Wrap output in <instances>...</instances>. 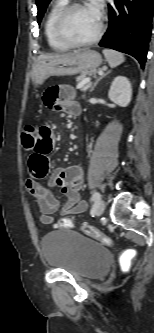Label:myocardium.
Listing matches in <instances>:
<instances>
[{
	"label": "myocardium",
	"mask_w": 154,
	"mask_h": 333,
	"mask_svg": "<svg viewBox=\"0 0 154 333\" xmlns=\"http://www.w3.org/2000/svg\"><path fill=\"white\" fill-rule=\"evenodd\" d=\"M86 6L85 3L81 2V1H71L69 3H67L62 10L59 12L56 20H55V33L57 35V37L65 44L69 45L70 47H85V46H90L95 44L96 42H98L100 40V38L103 35L104 32V18L102 14H99V25H98V29L96 34L88 39V40H75L73 39L66 31V22L67 19L70 15V13L79 7H83Z\"/></svg>",
	"instance_id": "1"
}]
</instances>
